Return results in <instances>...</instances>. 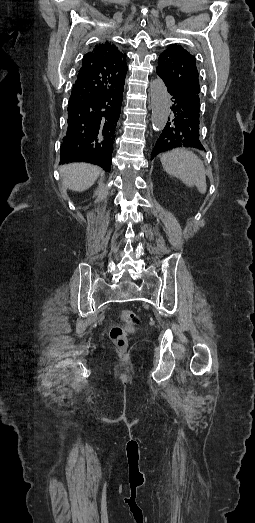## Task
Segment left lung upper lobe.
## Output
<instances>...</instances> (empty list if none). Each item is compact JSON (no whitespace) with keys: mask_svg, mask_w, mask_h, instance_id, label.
<instances>
[{"mask_svg":"<svg viewBox=\"0 0 255 523\" xmlns=\"http://www.w3.org/2000/svg\"><path fill=\"white\" fill-rule=\"evenodd\" d=\"M156 72L163 81H168V85H172L178 92L184 93L183 101L191 102L197 106V114L199 115L200 103L198 94L200 86L195 57L181 46L173 45L159 56V65ZM171 99H175L174 95H172ZM167 148L172 149L171 147ZM201 149L204 150V148Z\"/></svg>","mask_w":255,"mask_h":523,"instance_id":"obj_1","label":"left lung upper lobe"}]
</instances>
